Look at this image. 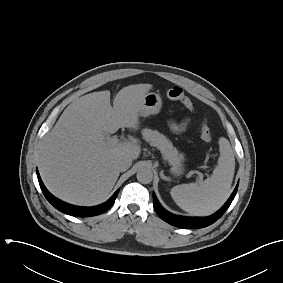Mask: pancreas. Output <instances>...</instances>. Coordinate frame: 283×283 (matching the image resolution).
I'll list each match as a JSON object with an SVG mask.
<instances>
[{
	"instance_id": "obj_1",
	"label": "pancreas",
	"mask_w": 283,
	"mask_h": 283,
	"mask_svg": "<svg viewBox=\"0 0 283 283\" xmlns=\"http://www.w3.org/2000/svg\"><path fill=\"white\" fill-rule=\"evenodd\" d=\"M142 135L151 146L157 147L161 151L163 158L171 165L174 166L181 161L182 155L173 147L171 141L166 136L148 128L143 129Z\"/></svg>"
}]
</instances>
